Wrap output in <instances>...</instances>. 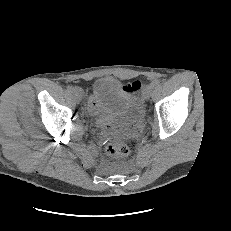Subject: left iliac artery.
<instances>
[{
  "label": "left iliac artery",
  "mask_w": 231,
  "mask_h": 231,
  "mask_svg": "<svg viewBox=\"0 0 231 231\" xmlns=\"http://www.w3.org/2000/svg\"><path fill=\"white\" fill-rule=\"evenodd\" d=\"M151 85L153 86V88H157L160 85V81L159 80H154Z\"/></svg>",
  "instance_id": "left-iliac-artery-1"
}]
</instances>
